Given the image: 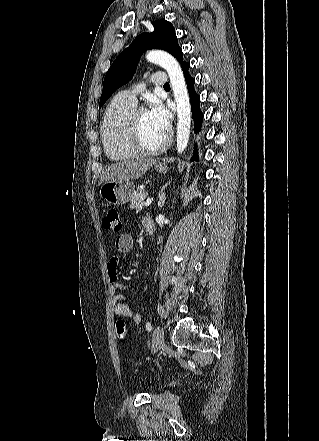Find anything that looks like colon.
<instances>
[{"instance_id": "colon-1", "label": "colon", "mask_w": 319, "mask_h": 441, "mask_svg": "<svg viewBox=\"0 0 319 441\" xmlns=\"http://www.w3.org/2000/svg\"><path fill=\"white\" fill-rule=\"evenodd\" d=\"M102 226L105 231L118 233L122 229V223L120 220V215L117 209H109L103 220ZM117 334L119 337L123 338L126 334V329L124 323L119 321L116 325Z\"/></svg>"}]
</instances>
